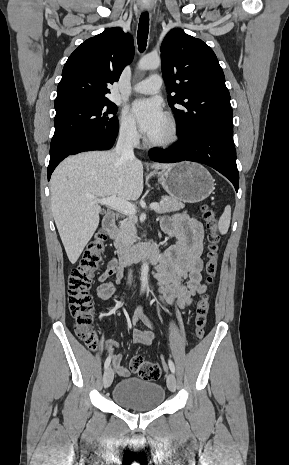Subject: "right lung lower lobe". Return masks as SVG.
<instances>
[{
	"label": "right lung lower lobe",
	"mask_w": 289,
	"mask_h": 465,
	"mask_svg": "<svg viewBox=\"0 0 289 465\" xmlns=\"http://www.w3.org/2000/svg\"><path fill=\"white\" fill-rule=\"evenodd\" d=\"M117 133L118 130L115 134L107 136H87L74 142L72 145L60 150L56 154L51 155L49 166L47 169L48 180H50L51 174L56 168V166L67 156L84 151L110 149L115 142Z\"/></svg>",
	"instance_id": "obj_1"
}]
</instances>
